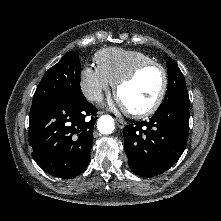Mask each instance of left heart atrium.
<instances>
[{
	"instance_id": "1",
	"label": "left heart atrium",
	"mask_w": 221,
	"mask_h": 221,
	"mask_svg": "<svg viewBox=\"0 0 221 221\" xmlns=\"http://www.w3.org/2000/svg\"><path fill=\"white\" fill-rule=\"evenodd\" d=\"M117 104L120 105V106L123 105L119 98H118V100H117Z\"/></svg>"
}]
</instances>
